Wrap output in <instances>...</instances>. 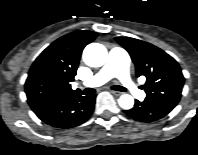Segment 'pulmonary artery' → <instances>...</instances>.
<instances>
[{
  "label": "pulmonary artery",
  "mask_w": 198,
  "mask_h": 155,
  "mask_svg": "<svg viewBox=\"0 0 198 155\" xmlns=\"http://www.w3.org/2000/svg\"><path fill=\"white\" fill-rule=\"evenodd\" d=\"M129 65L130 59L127 53L122 49L113 48L109 52L106 64L98 73L83 82V85L95 87L108 82L112 78H118L131 94L143 100L145 98V92L139 89L137 84L130 77Z\"/></svg>",
  "instance_id": "pulmonary-artery-1"
}]
</instances>
